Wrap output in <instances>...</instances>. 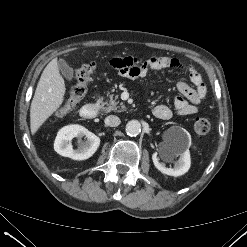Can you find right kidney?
Segmentation results:
<instances>
[{"instance_id": "obj_1", "label": "right kidney", "mask_w": 247, "mask_h": 247, "mask_svg": "<svg viewBox=\"0 0 247 247\" xmlns=\"http://www.w3.org/2000/svg\"><path fill=\"white\" fill-rule=\"evenodd\" d=\"M85 137V142H79L76 150L73 149L71 141L73 138ZM100 145V138L80 125H68L57 133L54 150L64 157L74 160H86L93 156Z\"/></svg>"}]
</instances>
